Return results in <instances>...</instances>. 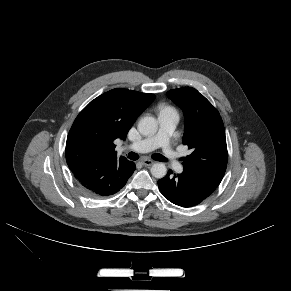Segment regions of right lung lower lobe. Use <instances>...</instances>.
<instances>
[{
    "instance_id": "1",
    "label": "right lung lower lobe",
    "mask_w": 291,
    "mask_h": 291,
    "mask_svg": "<svg viewBox=\"0 0 291 291\" xmlns=\"http://www.w3.org/2000/svg\"><path fill=\"white\" fill-rule=\"evenodd\" d=\"M135 169V164L125 158H103L82 165L73 174L86 196L101 198L122 189Z\"/></svg>"
}]
</instances>
